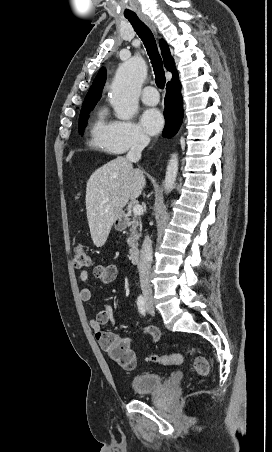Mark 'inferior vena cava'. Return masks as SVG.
I'll list each match as a JSON object with an SVG mask.
<instances>
[{
	"mask_svg": "<svg viewBox=\"0 0 272 452\" xmlns=\"http://www.w3.org/2000/svg\"><path fill=\"white\" fill-rule=\"evenodd\" d=\"M150 139L144 134H139L135 138L133 145L126 155L130 162H138L141 159L143 149L149 144ZM153 258L152 241L148 235L145 236L139 261V276L142 294L145 300H152V289L150 284V269Z\"/></svg>",
	"mask_w": 272,
	"mask_h": 452,
	"instance_id": "obj_1",
	"label": "inferior vena cava"
}]
</instances>
